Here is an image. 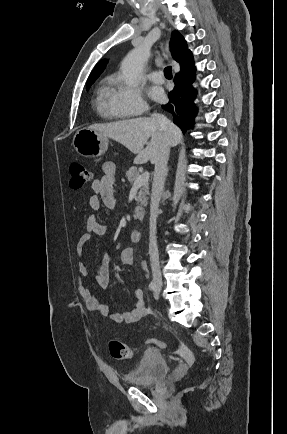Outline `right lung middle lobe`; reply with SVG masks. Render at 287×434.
Returning <instances> with one entry per match:
<instances>
[{
	"instance_id": "dd1d6c3e",
	"label": "right lung middle lobe",
	"mask_w": 287,
	"mask_h": 434,
	"mask_svg": "<svg viewBox=\"0 0 287 434\" xmlns=\"http://www.w3.org/2000/svg\"><path fill=\"white\" fill-rule=\"evenodd\" d=\"M94 82V81H93ZM93 82H88L87 84H86V89L88 90L89 89V87L93 84Z\"/></svg>"
}]
</instances>
